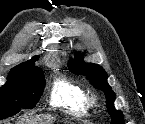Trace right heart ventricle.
<instances>
[{
  "label": "right heart ventricle",
  "mask_w": 145,
  "mask_h": 124,
  "mask_svg": "<svg viewBox=\"0 0 145 124\" xmlns=\"http://www.w3.org/2000/svg\"><path fill=\"white\" fill-rule=\"evenodd\" d=\"M88 98L89 92L84 86L66 77H59L52 84L51 105L63 108L72 115L81 116L86 112Z\"/></svg>",
  "instance_id": "right-heart-ventricle-1"
}]
</instances>
